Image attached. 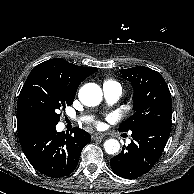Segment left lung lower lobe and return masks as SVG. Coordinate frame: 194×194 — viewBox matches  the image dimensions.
Here are the masks:
<instances>
[{"mask_svg":"<svg viewBox=\"0 0 194 194\" xmlns=\"http://www.w3.org/2000/svg\"><path fill=\"white\" fill-rule=\"evenodd\" d=\"M171 130V121L142 123L134 126L133 141L111 159V168L118 176L135 179L147 173L160 158Z\"/></svg>","mask_w":194,"mask_h":194,"instance_id":"obj_1","label":"left lung lower lobe"}]
</instances>
